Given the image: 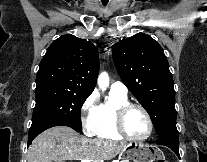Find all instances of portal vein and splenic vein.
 I'll list each match as a JSON object with an SVG mask.
<instances>
[{
    "label": "portal vein and splenic vein",
    "instance_id": "18ae733b",
    "mask_svg": "<svg viewBox=\"0 0 207 162\" xmlns=\"http://www.w3.org/2000/svg\"><path fill=\"white\" fill-rule=\"evenodd\" d=\"M81 162H100V161H93V160H81Z\"/></svg>",
    "mask_w": 207,
    "mask_h": 162
}]
</instances>
